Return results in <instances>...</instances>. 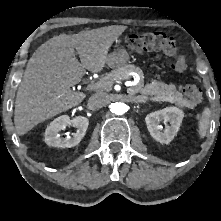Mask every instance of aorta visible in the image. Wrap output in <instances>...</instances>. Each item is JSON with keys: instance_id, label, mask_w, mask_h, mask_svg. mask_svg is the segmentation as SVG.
Instances as JSON below:
<instances>
[{"instance_id": "762f6f07", "label": "aorta", "mask_w": 221, "mask_h": 221, "mask_svg": "<svg viewBox=\"0 0 221 221\" xmlns=\"http://www.w3.org/2000/svg\"><path fill=\"white\" fill-rule=\"evenodd\" d=\"M127 105L122 102H116L112 106V112L116 115H123L124 113L127 112Z\"/></svg>"}]
</instances>
